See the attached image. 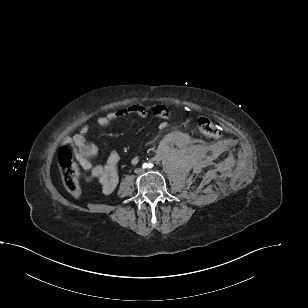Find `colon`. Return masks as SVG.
I'll return each mask as SVG.
<instances>
[{
    "instance_id": "5ec220e1",
    "label": "colon",
    "mask_w": 308,
    "mask_h": 308,
    "mask_svg": "<svg viewBox=\"0 0 308 308\" xmlns=\"http://www.w3.org/2000/svg\"><path fill=\"white\" fill-rule=\"evenodd\" d=\"M197 127L202 134L210 138L217 139L221 136L218 126L207 117H200L197 120ZM57 158L64 187L72 195L76 197L80 196V171L71 149L68 146H62L58 151Z\"/></svg>"
}]
</instances>
